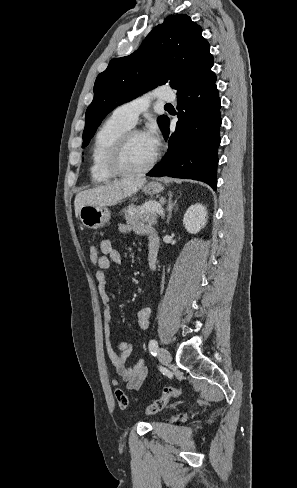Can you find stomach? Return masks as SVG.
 <instances>
[{
	"label": "stomach",
	"mask_w": 297,
	"mask_h": 488,
	"mask_svg": "<svg viewBox=\"0 0 297 488\" xmlns=\"http://www.w3.org/2000/svg\"><path fill=\"white\" fill-rule=\"evenodd\" d=\"M164 187L159 182H149L143 188L145 194L158 195ZM111 217L110 210L105 206L84 205L80 208L79 218L82 224L89 229H98L104 226Z\"/></svg>",
	"instance_id": "1"
}]
</instances>
